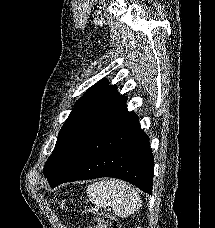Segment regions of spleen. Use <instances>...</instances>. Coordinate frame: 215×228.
<instances>
[{"mask_svg":"<svg viewBox=\"0 0 215 228\" xmlns=\"http://www.w3.org/2000/svg\"><path fill=\"white\" fill-rule=\"evenodd\" d=\"M89 202L100 208L110 206L115 216L127 218L141 208V198L131 184L120 180H101L91 184L87 190Z\"/></svg>","mask_w":215,"mask_h":228,"instance_id":"obj_1","label":"spleen"}]
</instances>
